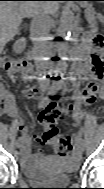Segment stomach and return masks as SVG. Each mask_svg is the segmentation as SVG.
Instances as JSON below:
<instances>
[{
	"instance_id": "obj_1",
	"label": "stomach",
	"mask_w": 104,
	"mask_h": 189,
	"mask_svg": "<svg viewBox=\"0 0 104 189\" xmlns=\"http://www.w3.org/2000/svg\"><path fill=\"white\" fill-rule=\"evenodd\" d=\"M83 3H85V5H87L86 3H88V2L85 1V2H83Z\"/></svg>"
}]
</instances>
